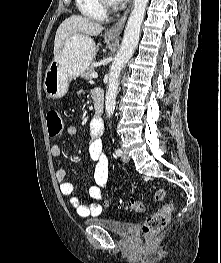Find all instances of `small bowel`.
<instances>
[{
	"mask_svg": "<svg viewBox=\"0 0 221 263\" xmlns=\"http://www.w3.org/2000/svg\"><path fill=\"white\" fill-rule=\"evenodd\" d=\"M66 133L69 136H75L78 133V129L74 125H69L66 127ZM101 136L102 129L96 128L92 122L88 153L94 163L95 185L88 188V194L92 199L91 202L84 204L78 196L74 195V184L66 180L67 173L64 169H59L56 172V180L59 183L61 193L69 197L70 205L82 217L99 215L103 209L100 202L102 199L101 189L105 188L109 183V161L104 151ZM51 154L54 157H58L61 154V148L58 144L51 146Z\"/></svg>",
	"mask_w": 221,
	"mask_h": 263,
	"instance_id": "obj_1",
	"label": "small bowel"
}]
</instances>
